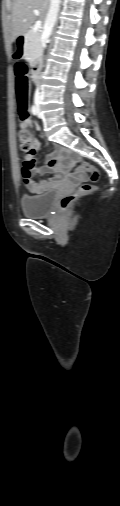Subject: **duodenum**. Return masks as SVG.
Instances as JSON below:
<instances>
[{
    "instance_id": "410a0bca",
    "label": "duodenum",
    "mask_w": 120,
    "mask_h": 506,
    "mask_svg": "<svg viewBox=\"0 0 120 506\" xmlns=\"http://www.w3.org/2000/svg\"><path fill=\"white\" fill-rule=\"evenodd\" d=\"M25 43V35H20L18 38V45L15 46V57L16 58H24L26 56V47L24 46ZM40 74V65L38 62H35L32 65L31 70V77L33 81H37L39 79Z\"/></svg>"
}]
</instances>
